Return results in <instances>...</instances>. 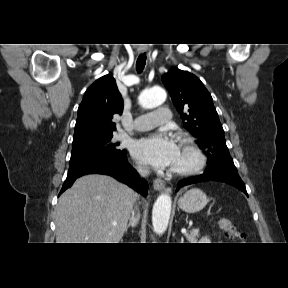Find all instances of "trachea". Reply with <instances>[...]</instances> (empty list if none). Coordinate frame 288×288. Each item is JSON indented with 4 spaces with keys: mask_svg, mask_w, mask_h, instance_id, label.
<instances>
[{
    "mask_svg": "<svg viewBox=\"0 0 288 288\" xmlns=\"http://www.w3.org/2000/svg\"><path fill=\"white\" fill-rule=\"evenodd\" d=\"M146 64V53L140 54L136 62V70L141 73Z\"/></svg>",
    "mask_w": 288,
    "mask_h": 288,
    "instance_id": "1",
    "label": "trachea"
}]
</instances>
